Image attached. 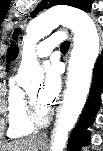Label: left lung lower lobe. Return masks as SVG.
Wrapping results in <instances>:
<instances>
[{"label":"left lung lower lobe","instance_id":"obj_1","mask_svg":"<svg viewBox=\"0 0 103 151\" xmlns=\"http://www.w3.org/2000/svg\"><path fill=\"white\" fill-rule=\"evenodd\" d=\"M103 56H100L95 64L92 87L81 119L74 129L68 143V151H78L82 146L90 142L89 131L86 127L90 126L99 106L100 92L103 87Z\"/></svg>","mask_w":103,"mask_h":151}]
</instances>
